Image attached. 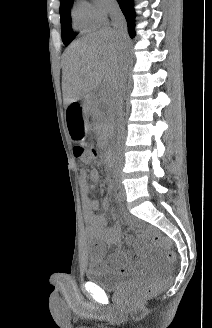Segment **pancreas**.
Masks as SVG:
<instances>
[{
	"label": "pancreas",
	"instance_id": "pancreas-1",
	"mask_svg": "<svg viewBox=\"0 0 212 328\" xmlns=\"http://www.w3.org/2000/svg\"><path fill=\"white\" fill-rule=\"evenodd\" d=\"M104 97H96L94 102L93 115L97 119L99 129V139H103L108 135L110 131V118L104 112L100 111L97 106L101 101H104Z\"/></svg>",
	"mask_w": 212,
	"mask_h": 328
}]
</instances>
